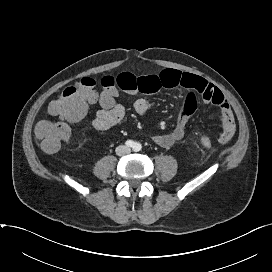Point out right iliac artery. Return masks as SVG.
<instances>
[{"mask_svg": "<svg viewBox=\"0 0 272 272\" xmlns=\"http://www.w3.org/2000/svg\"><path fill=\"white\" fill-rule=\"evenodd\" d=\"M125 145H126L127 147H133V148H134L135 143H134L132 140H127V141L125 142Z\"/></svg>", "mask_w": 272, "mask_h": 272, "instance_id": "right-iliac-artery-1", "label": "right iliac artery"}]
</instances>
